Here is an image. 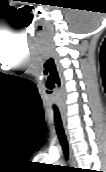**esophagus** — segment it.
<instances>
[{"label": "esophagus", "instance_id": "esophagus-1", "mask_svg": "<svg viewBox=\"0 0 106 172\" xmlns=\"http://www.w3.org/2000/svg\"><path fill=\"white\" fill-rule=\"evenodd\" d=\"M61 117H62V124H63V128L65 131V135H66L67 139H69L68 138L67 121H66V117H65L64 112L61 113ZM69 158H70V164L74 167L76 165V162H75L74 156L72 154L70 145H69Z\"/></svg>", "mask_w": 106, "mask_h": 172}]
</instances>
